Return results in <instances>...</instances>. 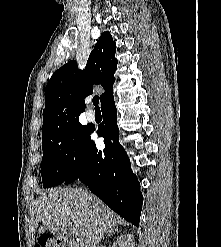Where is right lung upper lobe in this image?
Here are the masks:
<instances>
[{
	"label": "right lung upper lobe",
	"instance_id": "obj_1",
	"mask_svg": "<svg viewBox=\"0 0 221 247\" xmlns=\"http://www.w3.org/2000/svg\"><path fill=\"white\" fill-rule=\"evenodd\" d=\"M116 44L109 32H103L90 53L86 67L79 70L76 61L59 68L45 89L42 138L79 122L85 110L84 98L93 92V85H101L105 92L100 96L101 106L113 98Z\"/></svg>",
	"mask_w": 221,
	"mask_h": 247
}]
</instances>
